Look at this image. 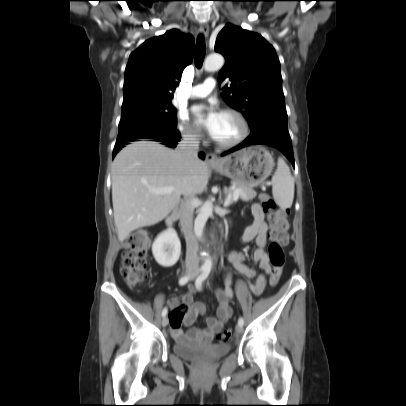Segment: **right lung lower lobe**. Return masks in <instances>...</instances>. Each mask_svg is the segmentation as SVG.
<instances>
[{"mask_svg":"<svg viewBox=\"0 0 406 406\" xmlns=\"http://www.w3.org/2000/svg\"><path fill=\"white\" fill-rule=\"evenodd\" d=\"M145 139H153L154 141L161 142L162 144L166 145L167 147L170 148H175L177 142L180 139V134L178 131H175L173 133L163 135V136H155V137H150V138H145ZM131 141H136V139H131L123 142H116L114 150H113V156H115L121 148H123L125 145L128 144V142ZM200 157L204 158V153H200Z\"/></svg>","mask_w":406,"mask_h":406,"instance_id":"98d812e1","label":"right lung lower lobe"}]
</instances>
